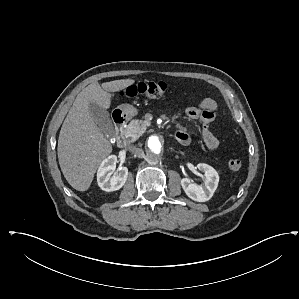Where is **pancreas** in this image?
<instances>
[{
  "label": "pancreas",
  "instance_id": "1",
  "mask_svg": "<svg viewBox=\"0 0 299 299\" xmlns=\"http://www.w3.org/2000/svg\"><path fill=\"white\" fill-rule=\"evenodd\" d=\"M146 127L147 122L135 119L128 124L122 135L129 143L134 142L144 133Z\"/></svg>",
  "mask_w": 299,
  "mask_h": 299
}]
</instances>
